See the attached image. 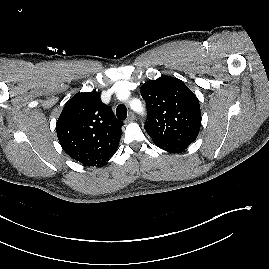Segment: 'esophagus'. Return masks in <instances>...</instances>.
<instances>
[{
    "instance_id": "1",
    "label": "esophagus",
    "mask_w": 269,
    "mask_h": 269,
    "mask_svg": "<svg viewBox=\"0 0 269 269\" xmlns=\"http://www.w3.org/2000/svg\"><path fill=\"white\" fill-rule=\"evenodd\" d=\"M135 120V115L133 112H129L127 122H132Z\"/></svg>"
}]
</instances>
